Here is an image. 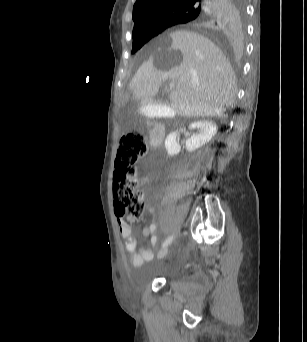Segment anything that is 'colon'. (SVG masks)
Returning <instances> with one entry per match:
<instances>
[{
    "instance_id": "obj_1",
    "label": "colon",
    "mask_w": 307,
    "mask_h": 342,
    "mask_svg": "<svg viewBox=\"0 0 307 342\" xmlns=\"http://www.w3.org/2000/svg\"><path fill=\"white\" fill-rule=\"evenodd\" d=\"M145 146L143 134L128 130L122 135L117 150L115 172L118 178L114 182V203L119 213L126 214L130 220H137L144 213L146 196L137 189L135 168Z\"/></svg>"
}]
</instances>
